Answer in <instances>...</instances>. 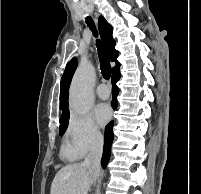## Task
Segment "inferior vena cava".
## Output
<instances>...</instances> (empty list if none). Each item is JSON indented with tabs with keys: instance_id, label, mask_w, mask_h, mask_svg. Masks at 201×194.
Wrapping results in <instances>:
<instances>
[{
	"instance_id": "inferior-vena-cava-1",
	"label": "inferior vena cava",
	"mask_w": 201,
	"mask_h": 194,
	"mask_svg": "<svg viewBox=\"0 0 201 194\" xmlns=\"http://www.w3.org/2000/svg\"><path fill=\"white\" fill-rule=\"evenodd\" d=\"M103 153V138L96 137L91 146L87 157L84 160V164L90 169L93 174V183L99 176L100 172V161Z\"/></svg>"
}]
</instances>
